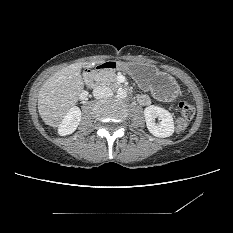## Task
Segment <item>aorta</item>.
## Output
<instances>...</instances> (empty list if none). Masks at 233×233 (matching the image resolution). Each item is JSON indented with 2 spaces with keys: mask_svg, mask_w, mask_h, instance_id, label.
<instances>
[{
  "mask_svg": "<svg viewBox=\"0 0 233 233\" xmlns=\"http://www.w3.org/2000/svg\"><path fill=\"white\" fill-rule=\"evenodd\" d=\"M117 97L120 99H124L127 97V91L125 89L119 88L117 90Z\"/></svg>",
  "mask_w": 233,
  "mask_h": 233,
  "instance_id": "obj_1",
  "label": "aorta"
}]
</instances>
